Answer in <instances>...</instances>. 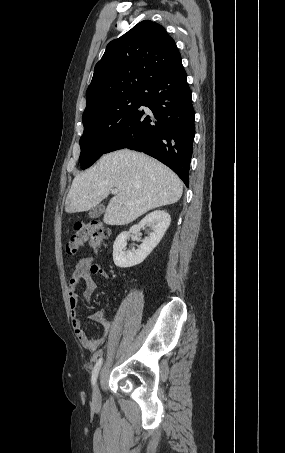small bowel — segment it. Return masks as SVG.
I'll return each mask as SVG.
<instances>
[{"mask_svg": "<svg viewBox=\"0 0 285 453\" xmlns=\"http://www.w3.org/2000/svg\"><path fill=\"white\" fill-rule=\"evenodd\" d=\"M95 275H99L103 279L109 278L108 273L102 269L100 264L97 261H95L93 257H85L80 259L76 263L68 283L69 304L73 329L76 337L78 338L82 346L91 352H95L98 350V348L104 343V341L108 337L113 327V320L107 317L106 313L103 310L97 311L96 313L91 315L89 319L91 321L101 323L102 331L97 337L90 338L83 329L82 322L79 319L78 313V303L80 299V295L78 294L79 283L81 280L85 281L86 288L83 292V298L86 301H90L93 294L98 288V284L94 278Z\"/></svg>", "mask_w": 285, "mask_h": 453, "instance_id": "small-bowel-1", "label": "small bowel"}]
</instances>
